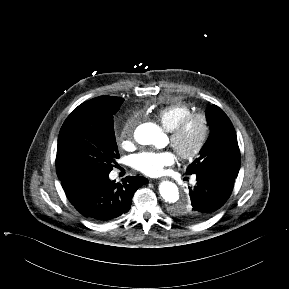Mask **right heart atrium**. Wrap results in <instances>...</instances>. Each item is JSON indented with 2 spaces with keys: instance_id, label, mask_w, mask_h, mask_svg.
<instances>
[{
  "instance_id": "obj_1",
  "label": "right heart atrium",
  "mask_w": 289,
  "mask_h": 289,
  "mask_svg": "<svg viewBox=\"0 0 289 289\" xmlns=\"http://www.w3.org/2000/svg\"><path fill=\"white\" fill-rule=\"evenodd\" d=\"M130 130H131V125H130V124H127V125L125 126V128H124L123 133L126 134V133L130 132Z\"/></svg>"
}]
</instances>
